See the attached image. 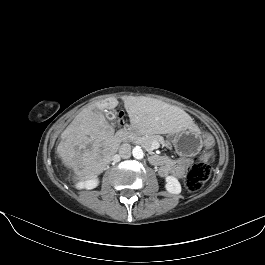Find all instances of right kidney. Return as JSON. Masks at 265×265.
I'll list each match as a JSON object with an SVG mask.
<instances>
[{
    "label": "right kidney",
    "instance_id": "right-kidney-1",
    "mask_svg": "<svg viewBox=\"0 0 265 265\" xmlns=\"http://www.w3.org/2000/svg\"><path fill=\"white\" fill-rule=\"evenodd\" d=\"M98 178L95 177V178H92V179H89V180H86V181H80L78 184H77V187L79 189H87V190H90V189H94L98 186Z\"/></svg>",
    "mask_w": 265,
    "mask_h": 265
}]
</instances>
